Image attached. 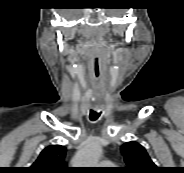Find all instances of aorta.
<instances>
[{"mask_svg":"<svg viewBox=\"0 0 184 173\" xmlns=\"http://www.w3.org/2000/svg\"><path fill=\"white\" fill-rule=\"evenodd\" d=\"M102 153V147L97 140L91 139L77 154L74 163L80 167H96Z\"/></svg>","mask_w":184,"mask_h":173,"instance_id":"1","label":"aorta"}]
</instances>
